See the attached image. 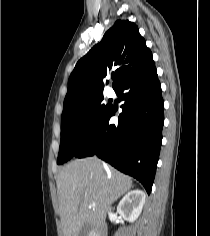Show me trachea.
<instances>
[{
    "instance_id": "trachea-1",
    "label": "trachea",
    "mask_w": 210,
    "mask_h": 236,
    "mask_svg": "<svg viewBox=\"0 0 210 236\" xmlns=\"http://www.w3.org/2000/svg\"><path fill=\"white\" fill-rule=\"evenodd\" d=\"M115 78V76H112V79H114Z\"/></svg>"
}]
</instances>
